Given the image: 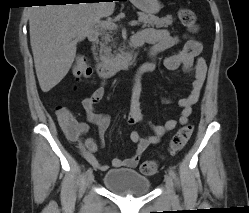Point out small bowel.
<instances>
[{"label": "small bowel", "instance_id": "1", "mask_svg": "<svg viewBox=\"0 0 249 213\" xmlns=\"http://www.w3.org/2000/svg\"><path fill=\"white\" fill-rule=\"evenodd\" d=\"M134 38L136 40V46L144 44L150 46V60L141 65L137 70V80H139L143 74L154 71L156 67L155 58L159 53L174 47L180 42V38L172 35L168 30L156 28H144L139 31ZM184 39L185 43L183 47L177 53L167 56L164 59V66L166 69L173 71L182 68L193 78L189 95L179 101L182 111L178 120L169 119L163 125H153L149 123V128L152 131V134L150 135H142L136 130L132 131L130 133V139L136 145L134 154L126 159L114 158L112 160V167H136L142 155L150 145L159 143L161 138L166 133L172 131L178 123L181 125L188 123L192 107L197 103L206 79L207 64L205 59L200 57L202 51L201 42L187 35L184 36ZM104 95L105 85L102 84L82 101V106L88 121L98 128L99 143L91 137H87L83 141H80L81 137L85 135L88 130V124L76 120L69 108H63L62 111L66 114L64 117L59 115V113L56 114L59 124L68 135L69 139L72 141H79V148L84 159L100 171H106L109 168L108 165L100 163L95 156L97 150L104 145L105 133L110 125L109 115L95 112L96 104ZM143 122L144 119L140 111L139 97L137 93H134L131 102V111L127 117V123L129 125H136Z\"/></svg>", "mask_w": 249, "mask_h": 213}]
</instances>
